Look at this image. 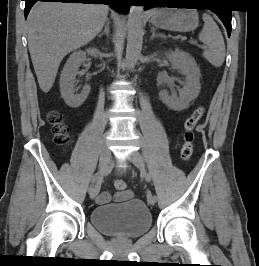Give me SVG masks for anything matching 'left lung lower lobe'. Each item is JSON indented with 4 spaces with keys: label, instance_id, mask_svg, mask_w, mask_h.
<instances>
[{
    "label": "left lung lower lobe",
    "instance_id": "0a47b994",
    "mask_svg": "<svg viewBox=\"0 0 259 266\" xmlns=\"http://www.w3.org/2000/svg\"><path fill=\"white\" fill-rule=\"evenodd\" d=\"M142 5L144 6V9L147 10L151 7H174V6H180V5H187V4H193L190 2V0H142ZM215 12L223 24L225 25L228 36L231 34V10L229 9H209Z\"/></svg>",
    "mask_w": 259,
    "mask_h": 266
}]
</instances>
